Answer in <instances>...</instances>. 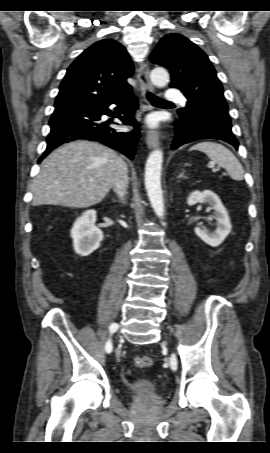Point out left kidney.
<instances>
[{
	"label": "left kidney",
	"instance_id": "5707ae66",
	"mask_svg": "<svg viewBox=\"0 0 270 453\" xmlns=\"http://www.w3.org/2000/svg\"><path fill=\"white\" fill-rule=\"evenodd\" d=\"M196 203H205L209 205V208L214 210V218L216 220V229L214 231H208L198 226L195 228L196 235L212 247L219 246L232 229L226 208L223 206L220 198L210 190H204L203 192L194 191L190 193L187 198V204L192 206Z\"/></svg>",
	"mask_w": 270,
	"mask_h": 453
}]
</instances>
